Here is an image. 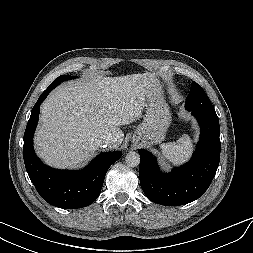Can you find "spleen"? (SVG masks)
<instances>
[{
	"mask_svg": "<svg viewBox=\"0 0 253 253\" xmlns=\"http://www.w3.org/2000/svg\"><path fill=\"white\" fill-rule=\"evenodd\" d=\"M160 148L163 157L175 165L186 162L194 149L189 135H183L176 142L163 143Z\"/></svg>",
	"mask_w": 253,
	"mask_h": 253,
	"instance_id": "spleen-1",
	"label": "spleen"
}]
</instances>
